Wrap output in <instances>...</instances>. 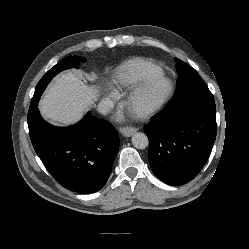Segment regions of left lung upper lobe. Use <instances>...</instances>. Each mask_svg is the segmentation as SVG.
I'll use <instances>...</instances> for the list:
<instances>
[{
	"label": "left lung upper lobe",
	"instance_id": "5c2ea615",
	"mask_svg": "<svg viewBox=\"0 0 249 249\" xmlns=\"http://www.w3.org/2000/svg\"><path fill=\"white\" fill-rule=\"evenodd\" d=\"M179 75L177 89L172 101L163 110L167 115H174L196 107H215V101L207 85L195 69L175 58Z\"/></svg>",
	"mask_w": 249,
	"mask_h": 249
}]
</instances>
